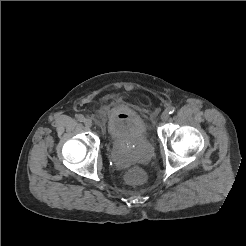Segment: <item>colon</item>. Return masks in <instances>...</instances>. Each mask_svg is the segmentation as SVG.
I'll use <instances>...</instances> for the list:
<instances>
[{"label":"colon","mask_w":246,"mask_h":246,"mask_svg":"<svg viewBox=\"0 0 246 246\" xmlns=\"http://www.w3.org/2000/svg\"><path fill=\"white\" fill-rule=\"evenodd\" d=\"M145 173L143 170L135 168L127 172L125 179L129 184L137 185L145 181Z\"/></svg>","instance_id":"1"}]
</instances>
